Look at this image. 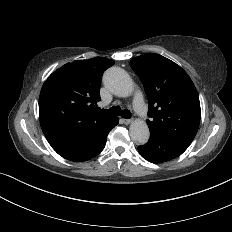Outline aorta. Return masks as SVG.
<instances>
[{
  "label": "aorta",
  "mask_w": 232,
  "mask_h": 232,
  "mask_svg": "<svg viewBox=\"0 0 232 232\" xmlns=\"http://www.w3.org/2000/svg\"><path fill=\"white\" fill-rule=\"evenodd\" d=\"M106 88L118 97H127L133 92V83L129 74L120 67L109 68L103 76ZM131 139L139 145L148 142L150 132L148 125L141 119L132 121L130 128Z\"/></svg>",
  "instance_id": "1"
}]
</instances>
